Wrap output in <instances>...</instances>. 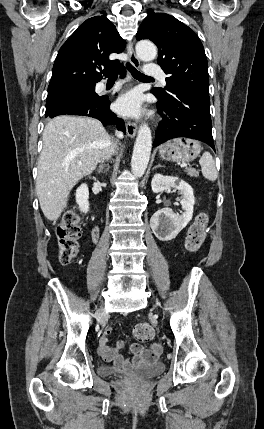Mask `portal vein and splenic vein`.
Wrapping results in <instances>:
<instances>
[{"mask_svg":"<svg viewBox=\"0 0 264 429\" xmlns=\"http://www.w3.org/2000/svg\"><path fill=\"white\" fill-rule=\"evenodd\" d=\"M180 166H181L182 168H188V165H187L186 163H182Z\"/></svg>","mask_w":264,"mask_h":429,"instance_id":"1","label":"portal vein and splenic vein"}]
</instances>
